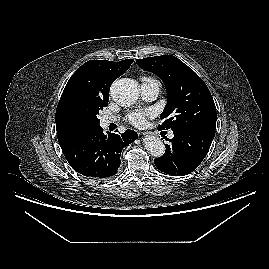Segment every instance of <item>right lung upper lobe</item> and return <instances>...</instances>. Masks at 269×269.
<instances>
[{
	"instance_id": "cb5924a9",
	"label": "right lung upper lobe",
	"mask_w": 269,
	"mask_h": 269,
	"mask_svg": "<svg viewBox=\"0 0 269 269\" xmlns=\"http://www.w3.org/2000/svg\"><path fill=\"white\" fill-rule=\"evenodd\" d=\"M133 59L119 62L90 60L84 63L67 82L55 115L58 141L93 128L83 124L74 112V103L80 97H109L111 84L125 73Z\"/></svg>"
}]
</instances>
